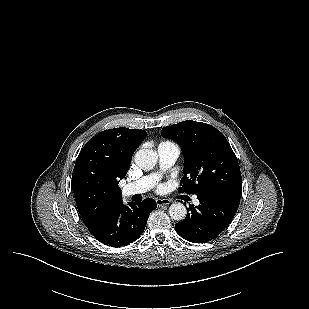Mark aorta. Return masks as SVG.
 <instances>
[{"label":"aorta","mask_w":309,"mask_h":309,"mask_svg":"<svg viewBox=\"0 0 309 309\" xmlns=\"http://www.w3.org/2000/svg\"><path fill=\"white\" fill-rule=\"evenodd\" d=\"M158 155L150 149H140L135 154V164L144 171L151 170L157 163ZM187 209L184 204L175 202L169 207L171 219L181 221L186 217Z\"/></svg>","instance_id":"aorta-1"}]
</instances>
